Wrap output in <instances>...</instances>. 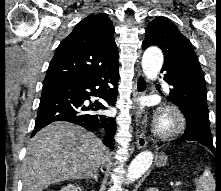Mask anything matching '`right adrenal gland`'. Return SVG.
Instances as JSON below:
<instances>
[{
	"instance_id": "2a0ac1e0",
	"label": "right adrenal gland",
	"mask_w": 221,
	"mask_h": 191,
	"mask_svg": "<svg viewBox=\"0 0 221 191\" xmlns=\"http://www.w3.org/2000/svg\"><path fill=\"white\" fill-rule=\"evenodd\" d=\"M86 179L87 180L94 179L96 182H98V172L92 174L91 176L87 177Z\"/></svg>"
}]
</instances>
